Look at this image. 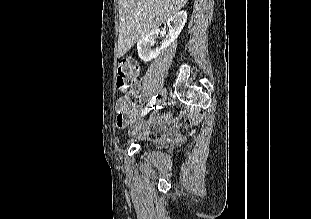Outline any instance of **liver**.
<instances>
[{
	"label": "liver",
	"instance_id": "1",
	"mask_svg": "<svg viewBox=\"0 0 311 219\" xmlns=\"http://www.w3.org/2000/svg\"><path fill=\"white\" fill-rule=\"evenodd\" d=\"M187 0H118L119 37L117 56L177 14Z\"/></svg>",
	"mask_w": 311,
	"mask_h": 219
}]
</instances>
